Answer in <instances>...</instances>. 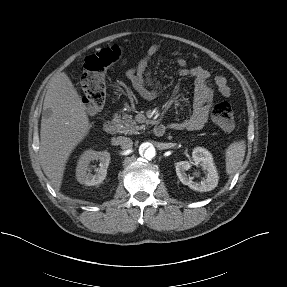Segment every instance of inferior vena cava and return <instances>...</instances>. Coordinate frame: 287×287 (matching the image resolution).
<instances>
[{"label": "inferior vena cava", "mask_w": 287, "mask_h": 287, "mask_svg": "<svg viewBox=\"0 0 287 287\" xmlns=\"http://www.w3.org/2000/svg\"><path fill=\"white\" fill-rule=\"evenodd\" d=\"M116 144L120 145L122 149H130L133 146V141L130 138L124 136H118L116 138Z\"/></svg>", "instance_id": "1"}]
</instances>
